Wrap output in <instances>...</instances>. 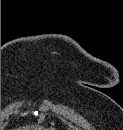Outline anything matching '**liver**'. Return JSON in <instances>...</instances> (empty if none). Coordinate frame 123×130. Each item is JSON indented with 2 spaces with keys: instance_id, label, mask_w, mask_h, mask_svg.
<instances>
[{
  "instance_id": "6515ba94",
  "label": "liver",
  "mask_w": 123,
  "mask_h": 130,
  "mask_svg": "<svg viewBox=\"0 0 123 130\" xmlns=\"http://www.w3.org/2000/svg\"><path fill=\"white\" fill-rule=\"evenodd\" d=\"M35 128H37V127H35ZM35 130H41V129L38 128V129H35Z\"/></svg>"
}]
</instances>
